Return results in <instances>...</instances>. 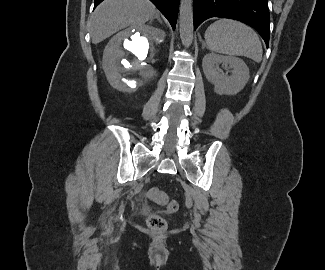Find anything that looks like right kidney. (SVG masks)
Instances as JSON below:
<instances>
[{
	"label": "right kidney",
	"mask_w": 325,
	"mask_h": 270,
	"mask_svg": "<svg viewBox=\"0 0 325 270\" xmlns=\"http://www.w3.org/2000/svg\"><path fill=\"white\" fill-rule=\"evenodd\" d=\"M164 38L162 30L147 25L131 26L116 34L103 53L109 83L122 92H134L148 83L156 74V46Z\"/></svg>",
	"instance_id": "ca27d5eb"
}]
</instances>
